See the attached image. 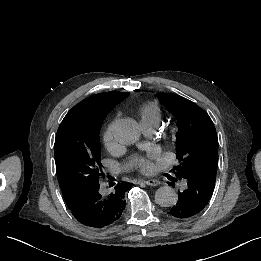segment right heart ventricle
Wrapping results in <instances>:
<instances>
[{
	"label": "right heart ventricle",
	"mask_w": 261,
	"mask_h": 261,
	"mask_svg": "<svg viewBox=\"0 0 261 261\" xmlns=\"http://www.w3.org/2000/svg\"><path fill=\"white\" fill-rule=\"evenodd\" d=\"M162 116L161 109L154 102H148L141 106L138 117L141 124L157 125Z\"/></svg>",
	"instance_id": "right-heart-ventricle-1"
}]
</instances>
